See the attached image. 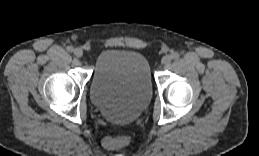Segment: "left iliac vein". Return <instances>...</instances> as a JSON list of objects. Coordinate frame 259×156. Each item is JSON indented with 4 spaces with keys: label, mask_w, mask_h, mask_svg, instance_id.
<instances>
[{
    "label": "left iliac vein",
    "mask_w": 259,
    "mask_h": 156,
    "mask_svg": "<svg viewBox=\"0 0 259 156\" xmlns=\"http://www.w3.org/2000/svg\"><path fill=\"white\" fill-rule=\"evenodd\" d=\"M171 60H172V56H171V55H165V56L162 58L161 63H162L163 65H167V64H169V63L171 62Z\"/></svg>",
    "instance_id": "obj_1"
}]
</instances>
